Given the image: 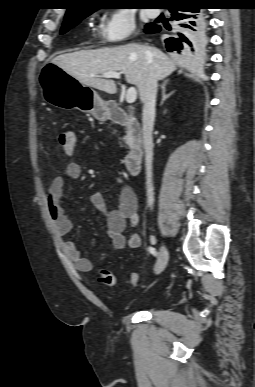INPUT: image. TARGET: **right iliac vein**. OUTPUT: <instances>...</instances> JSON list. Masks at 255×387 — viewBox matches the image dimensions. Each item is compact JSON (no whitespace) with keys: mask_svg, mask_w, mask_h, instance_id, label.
<instances>
[{"mask_svg":"<svg viewBox=\"0 0 255 387\" xmlns=\"http://www.w3.org/2000/svg\"><path fill=\"white\" fill-rule=\"evenodd\" d=\"M169 260V253L165 245H162L155 267V273L160 274L166 267Z\"/></svg>","mask_w":255,"mask_h":387,"instance_id":"right-iliac-vein-1","label":"right iliac vein"}]
</instances>
